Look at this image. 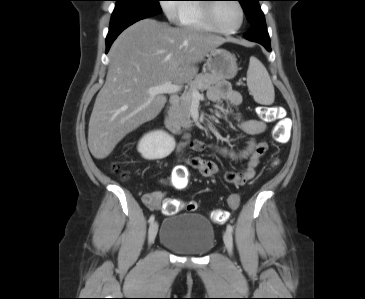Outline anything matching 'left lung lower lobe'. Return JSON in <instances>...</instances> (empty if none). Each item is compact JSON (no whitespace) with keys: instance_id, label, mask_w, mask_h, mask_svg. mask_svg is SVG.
<instances>
[{"instance_id":"1","label":"left lung lower lobe","mask_w":365,"mask_h":299,"mask_svg":"<svg viewBox=\"0 0 365 299\" xmlns=\"http://www.w3.org/2000/svg\"><path fill=\"white\" fill-rule=\"evenodd\" d=\"M244 38L260 43L266 50L271 51L270 38L267 32L265 19L253 24L250 30L244 35Z\"/></svg>"}]
</instances>
